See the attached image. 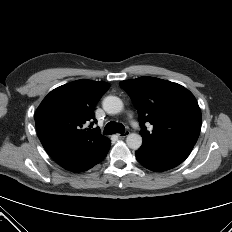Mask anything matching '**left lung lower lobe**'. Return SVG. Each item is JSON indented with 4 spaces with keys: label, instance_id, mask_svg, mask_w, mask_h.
Listing matches in <instances>:
<instances>
[{
    "label": "left lung lower lobe",
    "instance_id": "0a47b994",
    "mask_svg": "<svg viewBox=\"0 0 232 232\" xmlns=\"http://www.w3.org/2000/svg\"><path fill=\"white\" fill-rule=\"evenodd\" d=\"M193 147L194 145L187 143L155 145L143 141L142 146L136 151V158L145 168L162 172L182 163Z\"/></svg>",
    "mask_w": 232,
    "mask_h": 232
}]
</instances>
